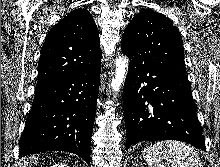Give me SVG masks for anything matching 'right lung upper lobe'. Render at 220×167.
Returning <instances> with one entry per match:
<instances>
[{
  "instance_id": "cb5924a9",
  "label": "right lung upper lobe",
  "mask_w": 220,
  "mask_h": 167,
  "mask_svg": "<svg viewBox=\"0 0 220 167\" xmlns=\"http://www.w3.org/2000/svg\"><path fill=\"white\" fill-rule=\"evenodd\" d=\"M101 63L99 32L88 10L78 8L46 36L38 63L37 85L80 73Z\"/></svg>"
}]
</instances>
